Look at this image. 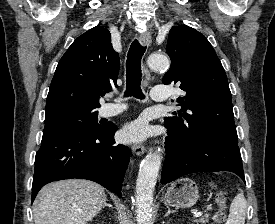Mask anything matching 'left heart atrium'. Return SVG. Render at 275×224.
Wrapping results in <instances>:
<instances>
[{"label": "left heart atrium", "mask_w": 275, "mask_h": 224, "mask_svg": "<svg viewBox=\"0 0 275 224\" xmlns=\"http://www.w3.org/2000/svg\"><path fill=\"white\" fill-rule=\"evenodd\" d=\"M148 136V126L143 120H137L127 125L122 131V138L125 141H142Z\"/></svg>", "instance_id": "obj_1"}]
</instances>
